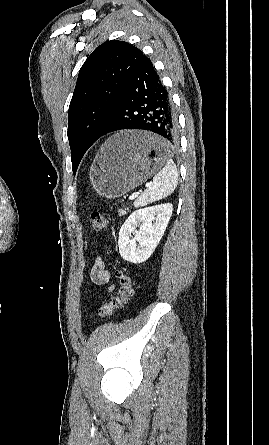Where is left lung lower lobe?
Masks as SVG:
<instances>
[{"label":"left lung lower lobe","mask_w":269,"mask_h":445,"mask_svg":"<svg viewBox=\"0 0 269 445\" xmlns=\"http://www.w3.org/2000/svg\"><path fill=\"white\" fill-rule=\"evenodd\" d=\"M122 129H141L177 144V119L170 96L152 62L143 55L124 88L116 109L99 137Z\"/></svg>","instance_id":"obj_1"}]
</instances>
